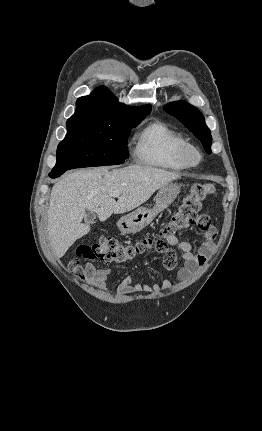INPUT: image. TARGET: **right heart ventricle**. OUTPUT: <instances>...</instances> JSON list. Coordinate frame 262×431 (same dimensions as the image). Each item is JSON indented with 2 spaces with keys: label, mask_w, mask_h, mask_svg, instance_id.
Wrapping results in <instances>:
<instances>
[{
  "label": "right heart ventricle",
  "mask_w": 262,
  "mask_h": 431,
  "mask_svg": "<svg viewBox=\"0 0 262 431\" xmlns=\"http://www.w3.org/2000/svg\"><path fill=\"white\" fill-rule=\"evenodd\" d=\"M187 144L188 141L166 123L153 121L138 133L134 154L146 166L179 171L186 169L179 153Z\"/></svg>",
  "instance_id": "obj_1"
}]
</instances>
